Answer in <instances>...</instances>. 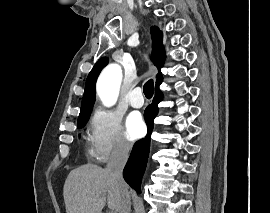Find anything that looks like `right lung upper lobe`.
<instances>
[{
    "label": "right lung upper lobe",
    "mask_w": 270,
    "mask_h": 213,
    "mask_svg": "<svg viewBox=\"0 0 270 213\" xmlns=\"http://www.w3.org/2000/svg\"><path fill=\"white\" fill-rule=\"evenodd\" d=\"M151 34H152V61L154 65L158 68V75L156 80V85L162 82V77L160 69L163 66L165 52H164V46L162 44V33L159 31V28L157 27H151ZM108 58L103 57L94 65L93 69L89 73L86 85H85V91L82 99V105H81V111L80 115H84L87 113H90L92 110V107L95 102V83L96 79L100 73V71L107 65Z\"/></svg>",
    "instance_id": "obj_1"
}]
</instances>
